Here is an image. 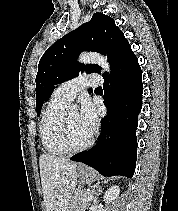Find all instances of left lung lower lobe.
<instances>
[{"instance_id": "1", "label": "left lung lower lobe", "mask_w": 178, "mask_h": 211, "mask_svg": "<svg viewBox=\"0 0 178 211\" xmlns=\"http://www.w3.org/2000/svg\"><path fill=\"white\" fill-rule=\"evenodd\" d=\"M141 77L138 59L130 49L110 77L103 76L104 104L108 113L101 120L102 131L97 145L74 155L71 160L83 162L104 176H133L137 156L136 129L142 108ZM109 79L112 87H109ZM107 133L111 135L109 140L105 139Z\"/></svg>"}]
</instances>
